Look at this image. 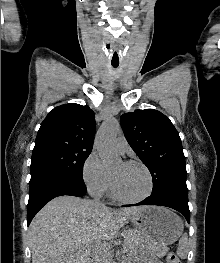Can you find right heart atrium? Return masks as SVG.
I'll return each mask as SVG.
<instances>
[{"label":"right heart atrium","instance_id":"1","mask_svg":"<svg viewBox=\"0 0 220 263\" xmlns=\"http://www.w3.org/2000/svg\"><path fill=\"white\" fill-rule=\"evenodd\" d=\"M82 180L87 190L93 195L106 192L110 186V174L95 151L90 152L83 162Z\"/></svg>","mask_w":220,"mask_h":263}]
</instances>
